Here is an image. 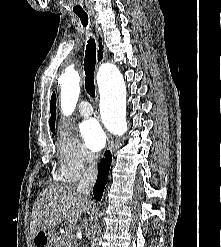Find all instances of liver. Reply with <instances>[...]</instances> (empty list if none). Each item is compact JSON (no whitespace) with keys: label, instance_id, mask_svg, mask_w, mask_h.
<instances>
[{"label":"liver","instance_id":"1","mask_svg":"<svg viewBox=\"0 0 221 247\" xmlns=\"http://www.w3.org/2000/svg\"><path fill=\"white\" fill-rule=\"evenodd\" d=\"M91 200L74 186H48L37 197L30 221L32 238L64 222L74 230L81 216L91 208Z\"/></svg>","mask_w":221,"mask_h":247}]
</instances>
